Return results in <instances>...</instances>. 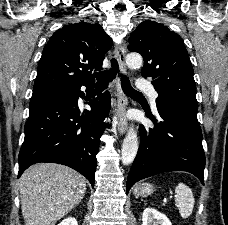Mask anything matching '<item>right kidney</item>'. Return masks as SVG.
<instances>
[{"mask_svg": "<svg viewBox=\"0 0 228 225\" xmlns=\"http://www.w3.org/2000/svg\"><path fill=\"white\" fill-rule=\"evenodd\" d=\"M59 225H78L76 219L74 217H67V219H64V221H61Z\"/></svg>", "mask_w": 228, "mask_h": 225, "instance_id": "1", "label": "right kidney"}]
</instances>
